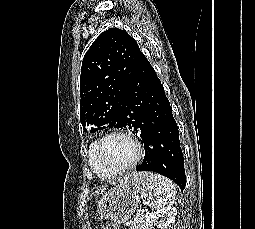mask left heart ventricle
<instances>
[{
  "instance_id": "obj_1",
  "label": "left heart ventricle",
  "mask_w": 255,
  "mask_h": 229,
  "mask_svg": "<svg viewBox=\"0 0 255 229\" xmlns=\"http://www.w3.org/2000/svg\"><path fill=\"white\" fill-rule=\"evenodd\" d=\"M98 156L108 167L119 168L128 165L133 160L135 149L126 138L111 136L100 144Z\"/></svg>"
}]
</instances>
